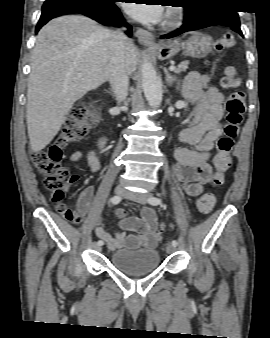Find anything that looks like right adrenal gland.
I'll return each instance as SVG.
<instances>
[{
  "label": "right adrenal gland",
  "instance_id": "obj_1",
  "mask_svg": "<svg viewBox=\"0 0 270 338\" xmlns=\"http://www.w3.org/2000/svg\"><path fill=\"white\" fill-rule=\"evenodd\" d=\"M110 93H111V95L113 96V91L110 89Z\"/></svg>",
  "mask_w": 270,
  "mask_h": 338
}]
</instances>
